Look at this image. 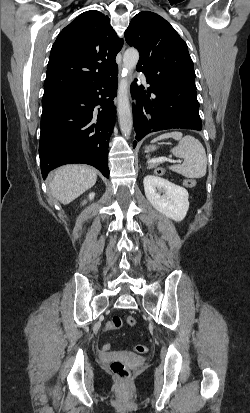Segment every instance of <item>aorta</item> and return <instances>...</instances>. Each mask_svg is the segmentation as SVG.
Masks as SVG:
<instances>
[{
  "label": "aorta",
  "mask_w": 250,
  "mask_h": 413,
  "mask_svg": "<svg viewBox=\"0 0 250 413\" xmlns=\"http://www.w3.org/2000/svg\"><path fill=\"white\" fill-rule=\"evenodd\" d=\"M139 60V53L134 48H129L123 56L122 79L119 82L117 93V111L119 125L124 136L128 137L132 130V113L128 98V75L136 67Z\"/></svg>",
  "instance_id": "762f6f07"
}]
</instances>
